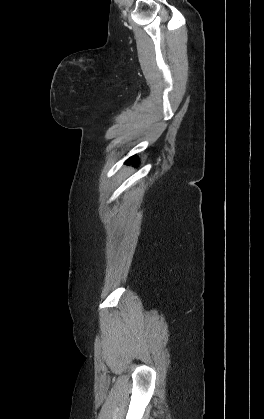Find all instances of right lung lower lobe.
Here are the masks:
<instances>
[{
    "label": "right lung lower lobe",
    "instance_id": "1",
    "mask_svg": "<svg viewBox=\"0 0 264 419\" xmlns=\"http://www.w3.org/2000/svg\"><path fill=\"white\" fill-rule=\"evenodd\" d=\"M126 164H136L137 163V160H136V157L135 156H132L131 158H129L126 162H125Z\"/></svg>",
    "mask_w": 264,
    "mask_h": 419
}]
</instances>
